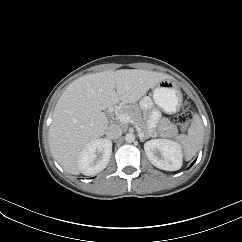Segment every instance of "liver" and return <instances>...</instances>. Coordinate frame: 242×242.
<instances>
[{
  "label": "liver",
  "mask_w": 242,
  "mask_h": 242,
  "mask_svg": "<svg viewBox=\"0 0 242 242\" xmlns=\"http://www.w3.org/2000/svg\"><path fill=\"white\" fill-rule=\"evenodd\" d=\"M169 75L147 70H108L84 75L62 93L49 127V145L55 160L70 174L80 173L78 156L91 141L106 132L103 110L122 102L133 104Z\"/></svg>",
  "instance_id": "6515ba94"
}]
</instances>
